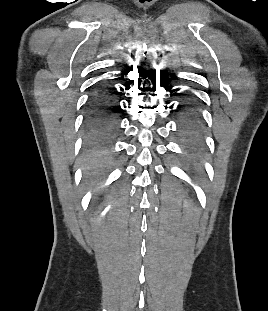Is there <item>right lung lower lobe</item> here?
<instances>
[{"instance_id":"98d812e1","label":"right lung lower lobe","mask_w":268,"mask_h":311,"mask_svg":"<svg viewBox=\"0 0 268 311\" xmlns=\"http://www.w3.org/2000/svg\"><path fill=\"white\" fill-rule=\"evenodd\" d=\"M118 111L119 106L112 91L96 92L89 101L84 120L88 138L100 142L115 136L119 129Z\"/></svg>"}]
</instances>
